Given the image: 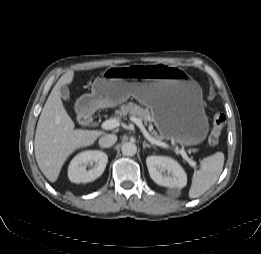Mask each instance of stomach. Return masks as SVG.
<instances>
[{
	"label": "stomach",
	"mask_w": 261,
	"mask_h": 254,
	"mask_svg": "<svg viewBox=\"0 0 261 254\" xmlns=\"http://www.w3.org/2000/svg\"><path fill=\"white\" fill-rule=\"evenodd\" d=\"M129 97L150 109L161 139L190 146L206 138L202 90L184 69L164 64L109 67L94 80L91 94L81 99L94 110L117 106Z\"/></svg>",
	"instance_id": "0dacf381"
}]
</instances>
